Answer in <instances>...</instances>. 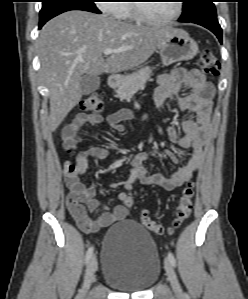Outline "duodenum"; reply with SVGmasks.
Returning a JSON list of instances; mask_svg holds the SVG:
<instances>
[{
    "instance_id": "410a0bca",
    "label": "duodenum",
    "mask_w": 248,
    "mask_h": 299,
    "mask_svg": "<svg viewBox=\"0 0 248 299\" xmlns=\"http://www.w3.org/2000/svg\"><path fill=\"white\" fill-rule=\"evenodd\" d=\"M120 83V78L116 75H112L108 79V84L111 88H115Z\"/></svg>"
}]
</instances>
